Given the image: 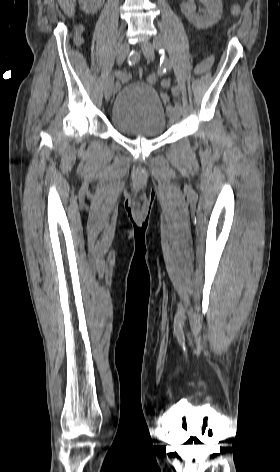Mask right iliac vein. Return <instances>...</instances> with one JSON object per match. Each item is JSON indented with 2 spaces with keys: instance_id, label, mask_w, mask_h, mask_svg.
Listing matches in <instances>:
<instances>
[{
  "instance_id": "63e3f726",
  "label": "right iliac vein",
  "mask_w": 280,
  "mask_h": 472,
  "mask_svg": "<svg viewBox=\"0 0 280 472\" xmlns=\"http://www.w3.org/2000/svg\"><path fill=\"white\" fill-rule=\"evenodd\" d=\"M129 51H130L129 44L127 42L122 43L118 50V55H117V62L119 64H121L125 60V58L129 54ZM113 89H114V76L111 75L106 80L105 86H104V95L107 101L110 100L113 93Z\"/></svg>"
}]
</instances>
